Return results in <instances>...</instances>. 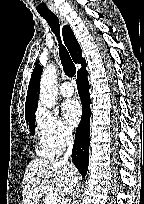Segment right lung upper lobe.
Returning a JSON list of instances; mask_svg holds the SVG:
<instances>
[{"mask_svg":"<svg viewBox=\"0 0 144 204\" xmlns=\"http://www.w3.org/2000/svg\"><path fill=\"white\" fill-rule=\"evenodd\" d=\"M63 40L65 45L67 46L71 57L75 63H80L82 67L86 66L85 59L81 55V47L75 38V35L72 29L69 26H64L62 29ZM42 73L41 65L37 64L32 72V76L30 79L26 103H25V114L26 119L33 117L34 113L38 106V90L40 83V76Z\"/></svg>","mask_w":144,"mask_h":204,"instance_id":"1","label":"right lung upper lobe"}]
</instances>
